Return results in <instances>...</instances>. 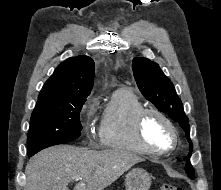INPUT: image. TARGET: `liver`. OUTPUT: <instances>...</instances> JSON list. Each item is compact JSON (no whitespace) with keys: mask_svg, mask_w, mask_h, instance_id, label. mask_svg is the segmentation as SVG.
I'll return each mask as SVG.
<instances>
[{"mask_svg":"<svg viewBox=\"0 0 221 190\" xmlns=\"http://www.w3.org/2000/svg\"><path fill=\"white\" fill-rule=\"evenodd\" d=\"M144 159L123 149L88 150L59 145L42 150L26 165V190H69V183L82 178L73 190H103Z\"/></svg>","mask_w":221,"mask_h":190,"instance_id":"1","label":"liver"}]
</instances>
